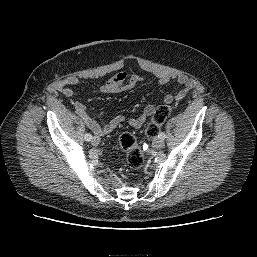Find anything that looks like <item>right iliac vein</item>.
<instances>
[{
  "mask_svg": "<svg viewBox=\"0 0 257 257\" xmlns=\"http://www.w3.org/2000/svg\"><path fill=\"white\" fill-rule=\"evenodd\" d=\"M91 143L93 144V145H98L99 143H100V138L99 137H97V136H94L93 138H92V140H91Z\"/></svg>",
  "mask_w": 257,
  "mask_h": 257,
  "instance_id": "obj_1",
  "label": "right iliac vein"
}]
</instances>
